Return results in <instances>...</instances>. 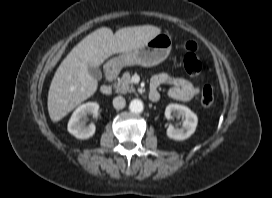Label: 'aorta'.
<instances>
[{"instance_id": "obj_1", "label": "aorta", "mask_w": 272, "mask_h": 198, "mask_svg": "<svg viewBox=\"0 0 272 198\" xmlns=\"http://www.w3.org/2000/svg\"><path fill=\"white\" fill-rule=\"evenodd\" d=\"M129 109L133 113H141L144 109L143 102L139 99H133L130 102Z\"/></svg>"}]
</instances>
